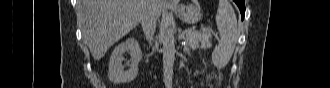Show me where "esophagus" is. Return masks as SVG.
Segmentation results:
<instances>
[{"label": "esophagus", "instance_id": "obj_1", "mask_svg": "<svg viewBox=\"0 0 330 88\" xmlns=\"http://www.w3.org/2000/svg\"><path fill=\"white\" fill-rule=\"evenodd\" d=\"M164 2L168 6H175V5H177V2L175 0H164Z\"/></svg>", "mask_w": 330, "mask_h": 88}]
</instances>
